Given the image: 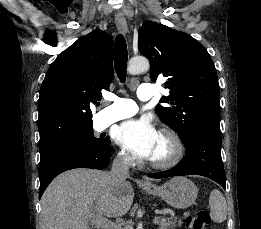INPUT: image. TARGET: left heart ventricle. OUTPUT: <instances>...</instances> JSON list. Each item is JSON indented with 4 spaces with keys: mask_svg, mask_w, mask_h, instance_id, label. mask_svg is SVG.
Returning a JSON list of instances; mask_svg holds the SVG:
<instances>
[{
    "mask_svg": "<svg viewBox=\"0 0 261 229\" xmlns=\"http://www.w3.org/2000/svg\"><path fill=\"white\" fill-rule=\"evenodd\" d=\"M169 152V147L167 141L159 136V140L154 151V154L151 157V160H161L166 157Z\"/></svg>",
    "mask_w": 261,
    "mask_h": 229,
    "instance_id": "1",
    "label": "left heart ventricle"
}]
</instances>
